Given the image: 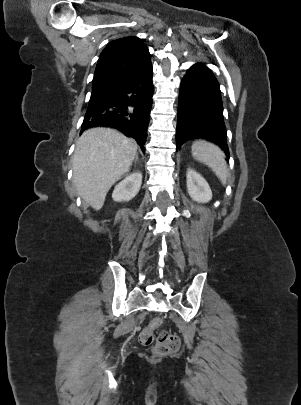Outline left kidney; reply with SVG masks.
Wrapping results in <instances>:
<instances>
[{"mask_svg":"<svg viewBox=\"0 0 301 405\" xmlns=\"http://www.w3.org/2000/svg\"><path fill=\"white\" fill-rule=\"evenodd\" d=\"M187 189L190 197L199 203H206L212 199V191L206 180L196 171H187Z\"/></svg>","mask_w":301,"mask_h":405,"instance_id":"left-kidney-1","label":"left kidney"}]
</instances>
